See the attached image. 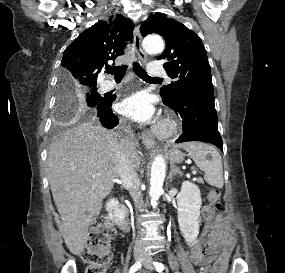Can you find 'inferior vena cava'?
I'll return each instance as SVG.
<instances>
[{
    "label": "inferior vena cava",
    "mask_w": 285,
    "mask_h": 273,
    "mask_svg": "<svg viewBox=\"0 0 285 273\" xmlns=\"http://www.w3.org/2000/svg\"><path fill=\"white\" fill-rule=\"evenodd\" d=\"M114 164L123 185L128 188L129 193L135 203V206L139 208L141 206L140 180L137 176V172L132 161L130 160L124 149L122 142L118 143L115 146ZM139 235L135 242L134 253L145 254L144 245L140 238L141 235Z\"/></svg>",
    "instance_id": "inferior-vena-cava-1"
}]
</instances>
